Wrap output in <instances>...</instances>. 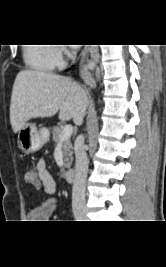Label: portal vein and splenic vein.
Masks as SVG:
<instances>
[{
    "instance_id": "obj_1",
    "label": "portal vein and splenic vein",
    "mask_w": 166,
    "mask_h": 267,
    "mask_svg": "<svg viewBox=\"0 0 166 267\" xmlns=\"http://www.w3.org/2000/svg\"><path fill=\"white\" fill-rule=\"evenodd\" d=\"M72 132H73L72 125H69V124L65 125V127L63 128V130L60 134V141H64V140L70 138L72 135Z\"/></svg>"
}]
</instances>
